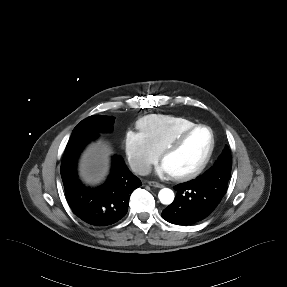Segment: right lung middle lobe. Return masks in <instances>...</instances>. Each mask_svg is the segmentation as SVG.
I'll list each match as a JSON object with an SVG mask.
<instances>
[{
    "label": "right lung middle lobe",
    "mask_w": 287,
    "mask_h": 287,
    "mask_svg": "<svg viewBox=\"0 0 287 287\" xmlns=\"http://www.w3.org/2000/svg\"><path fill=\"white\" fill-rule=\"evenodd\" d=\"M114 117L93 115L82 120L73 130L72 134L79 132H111L113 130Z\"/></svg>",
    "instance_id": "obj_1"
}]
</instances>
